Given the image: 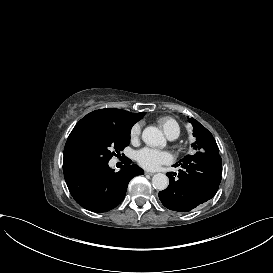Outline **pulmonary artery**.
I'll use <instances>...</instances> for the list:
<instances>
[{
	"instance_id": "e3ab8cb5",
	"label": "pulmonary artery",
	"mask_w": 273,
	"mask_h": 273,
	"mask_svg": "<svg viewBox=\"0 0 273 273\" xmlns=\"http://www.w3.org/2000/svg\"><path fill=\"white\" fill-rule=\"evenodd\" d=\"M169 139H170V140H173V138H171V137H170Z\"/></svg>"
}]
</instances>
